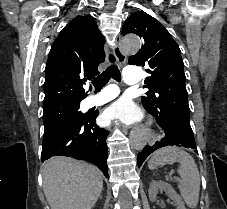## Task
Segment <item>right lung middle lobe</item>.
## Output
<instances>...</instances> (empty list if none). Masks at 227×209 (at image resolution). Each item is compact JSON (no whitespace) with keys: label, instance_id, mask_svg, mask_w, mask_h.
Segmentation results:
<instances>
[{"label":"right lung middle lobe","instance_id":"right-lung-middle-lobe-1","mask_svg":"<svg viewBox=\"0 0 227 209\" xmlns=\"http://www.w3.org/2000/svg\"><path fill=\"white\" fill-rule=\"evenodd\" d=\"M80 101L60 102L43 106L44 134L57 127L84 117L79 111Z\"/></svg>","mask_w":227,"mask_h":209}]
</instances>
